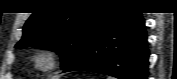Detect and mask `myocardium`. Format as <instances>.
<instances>
[{
  "instance_id": "myocardium-1",
  "label": "myocardium",
  "mask_w": 177,
  "mask_h": 79,
  "mask_svg": "<svg viewBox=\"0 0 177 79\" xmlns=\"http://www.w3.org/2000/svg\"><path fill=\"white\" fill-rule=\"evenodd\" d=\"M30 60L35 69L47 72L57 65L58 53L51 47H40L34 51Z\"/></svg>"
}]
</instances>
